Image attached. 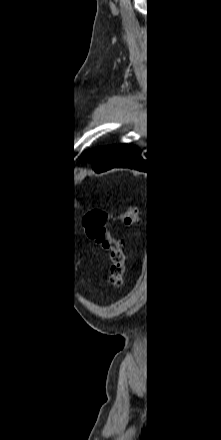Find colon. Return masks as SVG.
I'll return each instance as SVG.
<instances>
[{
  "label": "colon",
  "mask_w": 221,
  "mask_h": 440,
  "mask_svg": "<svg viewBox=\"0 0 221 440\" xmlns=\"http://www.w3.org/2000/svg\"><path fill=\"white\" fill-rule=\"evenodd\" d=\"M121 218L132 223L140 221L139 214L136 211H130L125 214L104 215L103 217H88L85 221L88 237L111 254L110 283L114 288H120L123 285L127 255L123 249L122 242L111 236L105 225L109 220Z\"/></svg>",
  "instance_id": "colon-1"
}]
</instances>
